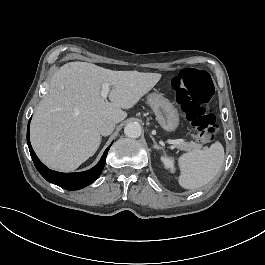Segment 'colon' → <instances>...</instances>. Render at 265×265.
I'll return each instance as SVG.
<instances>
[{"mask_svg": "<svg viewBox=\"0 0 265 265\" xmlns=\"http://www.w3.org/2000/svg\"><path fill=\"white\" fill-rule=\"evenodd\" d=\"M171 94L184 107L191 128L202 143H211L217 137V122L209 102L215 96V87L204 73L193 67L181 69L170 82Z\"/></svg>", "mask_w": 265, "mask_h": 265, "instance_id": "1", "label": "colon"}]
</instances>
